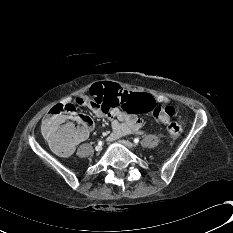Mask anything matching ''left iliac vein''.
<instances>
[{"mask_svg": "<svg viewBox=\"0 0 233 233\" xmlns=\"http://www.w3.org/2000/svg\"><path fill=\"white\" fill-rule=\"evenodd\" d=\"M126 147H128V148H130V149H134L135 148V145L132 143V142H130V141H128V140H123V141H121Z\"/></svg>", "mask_w": 233, "mask_h": 233, "instance_id": "1", "label": "left iliac vein"}]
</instances>
